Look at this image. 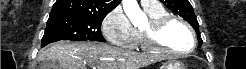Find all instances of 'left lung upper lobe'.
Here are the masks:
<instances>
[{
  "instance_id": "1",
  "label": "left lung upper lobe",
  "mask_w": 246,
  "mask_h": 69,
  "mask_svg": "<svg viewBox=\"0 0 246 69\" xmlns=\"http://www.w3.org/2000/svg\"><path fill=\"white\" fill-rule=\"evenodd\" d=\"M167 8L184 18L192 25L198 35V43L202 45V39L199 32V24L194 14L193 8L188 0H160Z\"/></svg>"
}]
</instances>
